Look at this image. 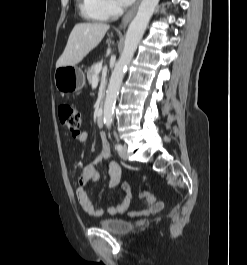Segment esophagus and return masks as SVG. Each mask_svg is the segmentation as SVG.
<instances>
[{
	"instance_id": "esophagus-1",
	"label": "esophagus",
	"mask_w": 247,
	"mask_h": 265,
	"mask_svg": "<svg viewBox=\"0 0 247 265\" xmlns=\"http://www.w3.org/2000/svg\"><path fill=\"white\" fill-rule=\"evenodd\" d=\"M139 3L140 0H137L135 5L124 15L123 19L119 24V29H125L128 26L137 11Z\"/></svg>"
}]
</instances>
